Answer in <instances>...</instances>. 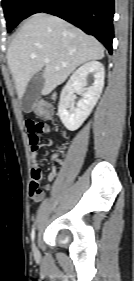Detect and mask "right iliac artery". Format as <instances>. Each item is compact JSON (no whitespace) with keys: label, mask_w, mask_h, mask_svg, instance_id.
I'll return each instance as SVG.
<instances>
[{"label":"right iliac artery","mask_w":134,"mask_h":281,"mask_svg":"<svg viewBox=\"0 0 134 281\" xmlns=\"http://www.w3.org/2000/svg\"><path fill=\"white\" fill-rule=\"evenodd\" d=\"M35 238V228L33 227L32 232H31V240L32 242L34 241Z\"/></svg>","instance_id":"1"}]
</instances>
